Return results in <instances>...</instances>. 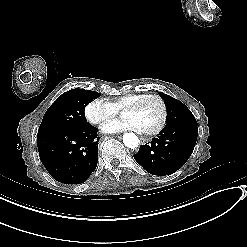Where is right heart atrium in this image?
Segmentation results:
<instances>
[{
    "label": "right heart atrium",
    "mask_w": 247,
    "mask_h": 247,
    "mask_svg": "<svg viewBox=\"0 0 247 247\" xmlns=\"http://www.w3.org/2000/svg\"><path fill=\"white\" fill-rule=\"evenodd\" d=\"M116 112L113 103L101 98L91 99L84 107V115L88 122L94 125H102Z\"/></svg>",
    "instance_id": "d8ad5b80"
}]
</instances>
